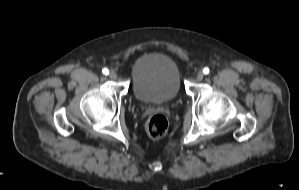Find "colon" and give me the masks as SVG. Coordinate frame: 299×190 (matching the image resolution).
<instances>
[{"label": "colon", "instance_id": "obj_1", "mask_svg": "<svg viewBox=\"0 0 299 190\" xmlns=\"http://www.w3.org/2000/svg\"><path fill=\"white\" fill-rule=\"evenodd\" d=\"M147 135L152 139L162 138L168 129V121L162 114H154L146 122L145 125Z\"/></svg>", "mask_w": 299, "mask_h": 190}]
</instances>
